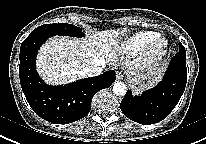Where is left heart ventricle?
Listing matches in <instances>:
<instances>
[{"label": "left heart ventricle", "mask_w": 206, "mask_h": 144, "mask_svg": "<svg viewBox=\"0 0 206 144\" xmlns=\"http://www.w3.org/2000/svg\"><path fill=\"white\" fill-rule=\"evenodd\" d=\"M161 46V43L158 45V47H160Z\"/></svg>", "instance_id": "obj_1"}]
</instances>
